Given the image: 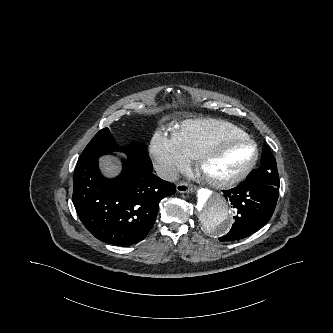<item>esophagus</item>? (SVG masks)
<instances>
[{
    "instance_id": "obj_1",
    "label": "esophagus",
    "mask_w": 333,
    "mask_h": 333,
    "mask_svg": "<svg viewBox=\"0 0 333 333\" xmlns=\"http://www.w3.org/2000/svg\"><path fill=\"white\" fill-rule=\"evenodd\" d=\"M176 189L179 193H189L191 191L190 187L186 183H178Z\"/></svg>"
}]
</instances>
